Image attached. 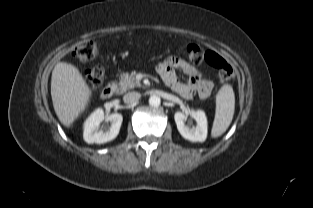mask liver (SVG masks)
<instances>
[{"mask_svg": "<svg viewBox=\"0 0 313 208\" xmlns=\"http://www.w3.org/2000/svg\"><path fill=\"white\" fill-rule=\"evenodd\" d=\"M51 97L58 119L69 127L85 110L90 90L75 66L59 62L52 71Z\"/></svg>", "mask_w": 313, "mask_h": 208, "instance_id": "obj_1", "label": "liver"}]
</instances>
